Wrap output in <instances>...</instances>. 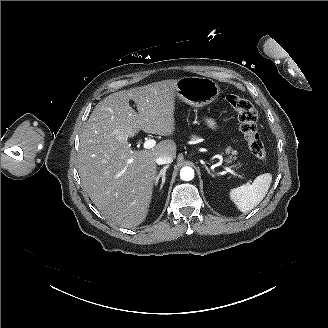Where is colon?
<instances>
[{
    "instance_id": "1",
    "label": "colon",
    "mask_w": 328,
    "mask_h": 328,
    "mask_svg": "<svg viewBox=\"0 0 328 328\" xmlns=\"http://www.w3.org/2000/svg\"><path fill=\"white\" fill-rule=\"evenodd\" d=\"M226 101L237 113L239 129L247 142L249 151L259 160L265 161L267 151L258 134V115L255 107L249 100L236 94H228Z\"/></svg>"
}]
</instances>
